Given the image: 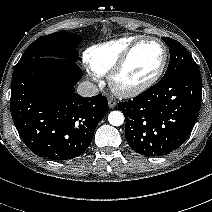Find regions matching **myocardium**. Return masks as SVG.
Here are the masks:
<instances>
[{
  "instance_id": "f54148a6",
  "label": "myocardium",
  "mask_w": 212,
  "mask_h": 212,
  "mask_svg": "<svg viewBox=\"0 0 212 212\" xmlns=\"http://www.w3.org/2000/svg\"><path fill=\"white\" fill-rule=\"evenodd\" d=\"M146 42H155L159 44L162 47L163 50V59L162 62L157 69V71L147 80L133 86H123L119 79L121 74L123 73L125 67L127 66L131 56L135 52V50L142 45L143 43ZM168 48L165 45L163 41H161L158 38L155 37H144V38H139L136 41H134L121 55L115 66L112 68V70L109 72L108 75V83L112 91L122 97H134L137 96L149 88H151L153 85H155L161 76L163 75L167 63H168Z\"/></svg>"
}]
</instances>
